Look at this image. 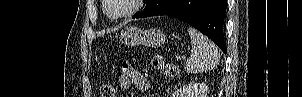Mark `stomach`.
Segmentation results:
<instances>
[{"mask_svg": "<svg viewBox=\"0 0 302 97\" xmlns=\"http://www.w3.org/2000/svg\"><path fill=\"white\" fill-rule=\"evenodd\" d=\"M120 40L125 45H145L151 48H159L164 45L166 36L160 30H142L134 26L125 27L120 34Z\"/></svg>", "mask_w": 302, "mask_h": 97, "instance_id": "stomach-1", "label": "stomach"}]
</instances>
